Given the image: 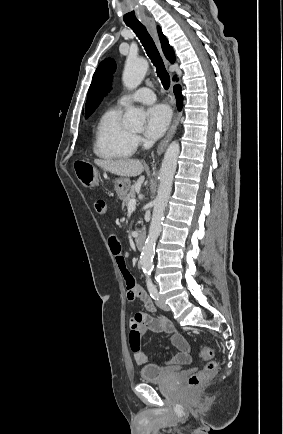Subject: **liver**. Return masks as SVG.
I'll return each instance as SVG.
<instances>
[{
    "instance_id": "liver-1",
    "label": "liver",
    "mask_w": 283,
    "mask_h": 434,
    "mask_svg": "<svg viewBox=\"0 0 283 434\" xmlns=\"http://www.w3.org/2000/svg\"><path fill=\"white\" fill-rule=\"evenodd\" d=\"M95 164L115 175L123 177H136L144 171V165L136 159L121 160H94Z\"/></svg>"
}]
</instances>
